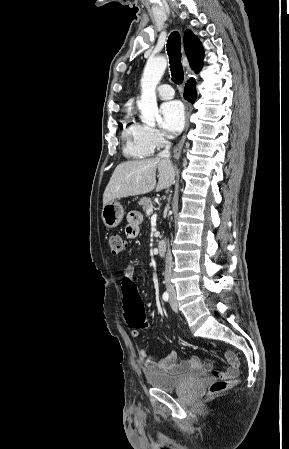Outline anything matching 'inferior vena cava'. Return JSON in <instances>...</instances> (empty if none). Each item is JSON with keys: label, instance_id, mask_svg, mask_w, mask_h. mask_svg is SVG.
Instances as JSON below:
<instances>
[{"label": "inferior vena cava", "instance_id": "1", "mask_svg": "<svg viewBox=\"0 0 289 449\" xmlns=\"http://www.w3.org/2000/svg\"><path fill=\"white\" fill-rule=\"evenodd\" d=\"M158 156L160 158H164V159L170 158V142H166L165 149L163 151H161ZM172 266H173L172 255H171V252L168 251L166 260H165L164 278H165L166 289L170 293L175 292L174 286L171 283Z\"/></svg>", "mask_w": 289, "mask_h": 449}]
</instances>
